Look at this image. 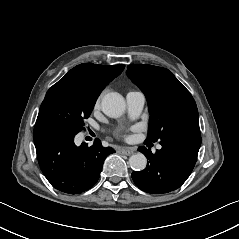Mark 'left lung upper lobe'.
I'll use <instances>...</instances> for the list:
<instances>
[{"label":"left lung upper lobe","mask_w":239,"mask_h":239,"mask_svg":"<svg viewBox=\"0 0 239 239\" xmlns=\"http://www.w3.org/2000/svg\"><path fill=\"white\" fill-rule=\"evenodd\" d=\"M127 74L148 102L151 117L147 142H155L179 129H199L198 110L192 95L169 70L152 65H129Z\"/></svg>","instance_id":"5c2ea615"}]
</instances>
